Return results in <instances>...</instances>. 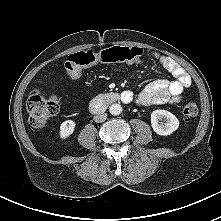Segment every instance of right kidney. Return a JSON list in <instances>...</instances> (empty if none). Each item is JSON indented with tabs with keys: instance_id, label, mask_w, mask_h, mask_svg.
<instances>
[{
	"instance_id": "1",
	"label": "right kidney",
	"mask_w": 221,
	"mask_h": 221,
	"mask_svg": "<svg viewBox=\"0 0 221 221\" xmlns=\"http://www.w3.org/2000/svg\"><path fill=\"white\" fill-rule=\"evenodd\" d=\"M76 123L73 120L64 121L60 126L59 136L61 139L68 138L75 129Z\"/></svg>"
}]
</instances>
